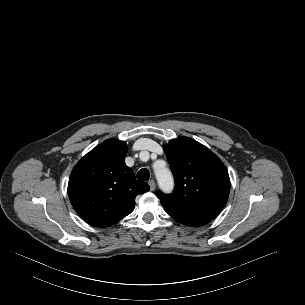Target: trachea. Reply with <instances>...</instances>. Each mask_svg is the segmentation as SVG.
I'll return each mask as SVG.
<instances>
[{
  "label": "trachea",
  "instance_id": "3493384b",
  "mask_svg": "<svg viewBox=\"0 0 305 305\" xmlns=\"http://www.w3.org/2000/svg\"><path fill=\"white\" fill-rule=\"evenodd\" d=\"M149 177H150L149 171L145 168L139 170V172L137 173V178L139 180L147 181V180H149Z\"/></svg>",
  "mask_w": 305,
  "mask_h": 305
}]
</instances>
